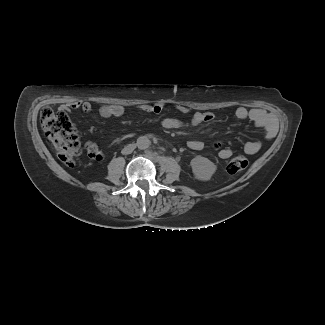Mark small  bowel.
<instances>
[{"label":"small bowel","mask_w":325,"mask_h":325,"mask_svg":"<svg viewBox=\"0 0 325 325\" xmlns=\"http://www.w3.org/2000/svg\"><path fill=\"white\" fill-rule=\"evenodd\" d=\"M81 109L84 112H90L92 106L89 102H73L65 106L60 105L57 107L56 112L61 120V126L67 131L75 130V123L71 120L69 116L70 110ZM165 104H155V105H143L142 110L146 113L160 114L164 111ZM175 109L182 114H189L190 110L182 105H177ZM124 113V109L120 105H104L99 109V116L101 118H112L120 117ZM235 116L238 119L251 120L256 126L261 127L264 130V135L266 139H271L274 137L276 132V125L274 119L268 115L262 109H248L244 106H239L235 110ZM214 116L210 112H193L191 118L187 121L178 118L166 117L160 121V124L165 129H184L198 126L202 123H208L213 120ZM203 142L199 139H192L188 141L187 146L191 150H201L203 148ZM262 147L260 141H249L243 146L245 153L252 155L257 153ZM86 151L88 156L96 161H101L104 159V153L98 148V146L93 142L86 143ZM233 152L230 148H222L219 151V156L222 159H228L232 156Z\"/></svg>","instance_id":"1"}]
</instances>
